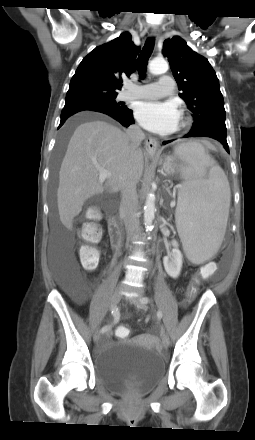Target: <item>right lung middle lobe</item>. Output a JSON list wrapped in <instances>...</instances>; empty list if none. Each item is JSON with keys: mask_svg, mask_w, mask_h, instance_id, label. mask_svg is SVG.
<instances>
[{"mask_svg": "<svg viewBox=\"0 0 255 440\" xmlns=\"http://www.w3.org/2000/svg\"><path fill=\"white\" fill-rule=\"evenodd\" d=\"M116 96H117V94L93 93V94H89L88 96H86L85 99L104 102V103H107L111 106L120 108L121 106L115 101ZM66 137H67V131L63 132V135H62V138L60 141V148L65 143Z\"/></svg>", "mask_w": 255, "mask_h": 440, "instance_id": "right-lung-middle-lobe-1", "label": "right lung middle lobe"}]
</instances>
